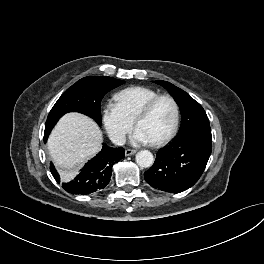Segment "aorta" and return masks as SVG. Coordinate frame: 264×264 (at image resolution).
I'll use <instances>...</instances> for the list:
<instances>
[{
    "mask_svg": "<svg viewBox=\"0 0 264 264\" xmlns=\"http://www.w3.org/2000/svg\"><path fill=\"white\" fill-rule=\"evenodd\" d=\"M136 162L140 167L148 168L153 164L154 158L150 151L141 150L136 154Z\"/></svg>",
    "mask_w": 264,
    "mask_h": 264,
    "instance_id": "obj_1",
    "label": "aorta"
}]
</instances>
